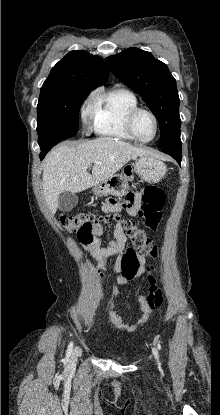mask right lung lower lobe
I'll use <instances>...</instances> for the list:
<instances>
[{"mask_svg": "<svg viewBox=\"0 0 220 415\" xmlns=\"http://www.w3.org/2000/svg\"><path fill=\"white\" fill-rule=\"evenodd\" d=\"M51 148H44L41 149V153H40V159L42 160L45 157V154L50 150Z\"/></svg>", "mask_w": 220, "mask_h": 415, "instance_id": "98d812e1", "label": "right lung lower lobe"}]
</instances>
